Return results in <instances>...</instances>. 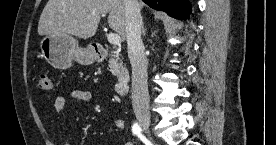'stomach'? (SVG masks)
I'll return each mask as SVG.
<instances>
[{
    "label": "stomach",
    "mask_w": 276,
    "mask_h": 145,
    "mask_svg": "<svg viewBox=\"0 0 276 145\" xmlns=\"http://www.w3.org/2000/svg\"><path fill=\"white\" fill-rule=\"evenodd\" d=\"M42 56L54 68L65 70L73 61L90 65L96 60V53L91 46L80 48L78 41L71 35H46L40 42Z\"/></svg>",
    "instance_id": "obj_1"
}]
</instances>
